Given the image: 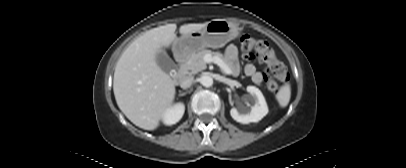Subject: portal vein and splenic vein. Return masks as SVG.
<instances>
[{
    "instance_id": "obj_1",
    "label": "portal vein and splenic vein",
    "mask_w": 406,
    "mask_h": 168,
    "mask_svg": "<svg viewBox=\"0 0 406 168\" xmlns=\"http://www.w3.org/2000/svg\"><path fill=\"white\" fill-rule=\"evenodd\" d=\"M206 62L208 63L213 62L217 64L225 74L230 75L232 73L231 69L222 61V59H220L217 56L211 57L210 55H207Z\"/></svg>"
}]
</instances>
